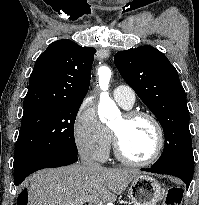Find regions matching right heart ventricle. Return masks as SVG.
<instances>
[{"label": "right heart ventricle", "instance_id": "obj_1", "mask_svg": "<svg viewBox=\"0 0 199 205\" xmlns=\"http://www.w3.org/2000/svg\"><path fill=\"white\" fill-rule=\"evenodd\" d=\"M123 108L125 109H130L131 107H126V106H123L122 104H120Z\"/></svg>", "mask_w": 199, "mask_h": 205}]
</instances>
